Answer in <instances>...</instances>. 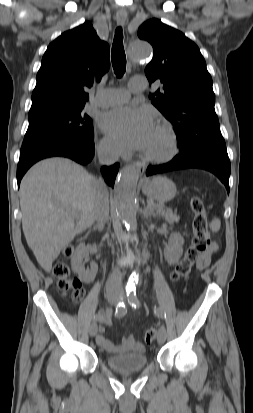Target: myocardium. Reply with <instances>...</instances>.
<instances>
[{"mask_svg":"<svg viewBox=\"0 0 253 413\" xmlns=\"http://www.w3.org/2000/svg\"><path fill=\"white\" fill-rule=\"evenodd\" d=\"M156 126L165 134L167 138V150L163 153H152L147 150H143L142 156L145 160L154 163H165L172 160L179 150V141L177 134L172 125L166 120H158Z\"/></svg>","mask_w":253,"mask_h":413,"instance_id":"myocardium-1","label":"myocardium"}]
</instances>
